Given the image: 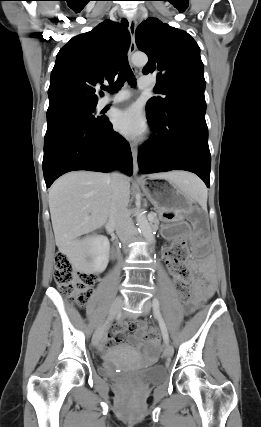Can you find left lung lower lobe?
Returning <instances> with one entry per match:
<instances>
[{"mask_svg":"<svg viewBox=\"0 0 261 427\" xmlns=\"http://www.w3.org/2000/svg\"><path fill=\"white\" fill-rule=\"evenodd\" d=\"M206 103L182 100L162 115L146 109L154 135L138 154L142 173L186 170L197 174L209 187L211 155L205 121Z\"/></svg>","mask_w":261,"mask_h":427,"instance_id":"left-lung-lower-lobe-1","label":"left lung lower lobe"}]
</instances>
